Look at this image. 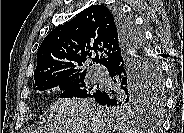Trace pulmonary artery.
Segmentation results:
<instances>
[{"instance_id":"obj_1","label":"pulmonary artery","mask_w":184,"mask_h":133,"mask_svg":"<svg viewBox=\"0 0 184 133\" xmlns=\"http://www.w3.org/2000/svg\"><path fill=\"white\" fill-rule=\"evenodd\" d=\"M94 78L99 81H103L105 79V75L102 72L96 71L94 73Z\"/></svg>"}]
</instances>
